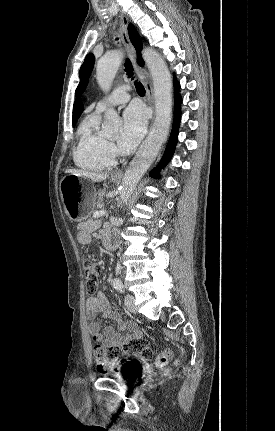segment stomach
Listing matches in <instances>:
<instances>
[{"mask_svg":"<svg viewBox=\"0 0 275 431\" xmlns=\"http://www.w3.org/2000/svg\"><path fill=\"white\" fill-rule=\"evenodd\" d=\"M118 180L112 177L113 182ZM60 194L64 209L72 221L80 222L89 217L96 193L94 188L84 186L83 177L74 174L64 176L60 183Z\"/></svg>","mask_w":275,"mask_h":431,"instance_id":"obj_1","label":"stomach"}]
</instances>
